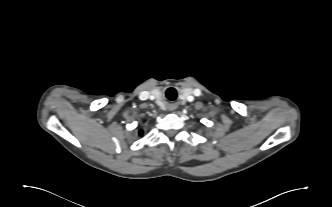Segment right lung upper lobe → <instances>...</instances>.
I'll return each mask as SVG.
<instances>
[{"mask_svg": "<svg viewBox=\"0 0 332 207\" xmlns=\"http://www.w3.org/2000/svg\"><path fill=\"white\" fill-rule=\"evenodd\" d=\"M142 134H143V131H140V132H139V135H142Z\"/></svg>", "mask_w": 332, "mask_h": 207, "instance_id": "1", "label": "right lung upper lobe"}]
</instances>
